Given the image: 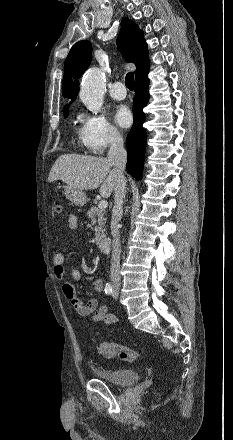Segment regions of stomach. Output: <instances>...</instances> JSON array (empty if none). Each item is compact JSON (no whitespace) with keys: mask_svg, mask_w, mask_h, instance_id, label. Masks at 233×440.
I'll use <instances>...</instances> for the list:
<instances>
[{"mask_svg":"<svg viewBox=\"0 0 233 440\" xmlns=\"http://www.w3.org/2000/svg\"><path fill=\"white\" fill-rule=\"evenodd\" d=\"M63 188V193L65 197L70 200L74 205L82 207L86 204L87 196L82 190L75 189L69 185H66Z\"/></svg>","mask_w":233,"mask_h":440,"instance_id":"stomach-1","label":"stomach"}]
</instances>
